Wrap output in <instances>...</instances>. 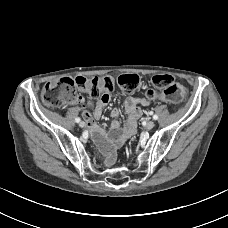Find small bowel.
Here are the masks:
<instances>
[{"label": "small bowel", "instance_id": "small-bowel-1", "mask_svg": "<svg viewBox=\"0 0 228 228\" xmlns=\"http://www.w3.org/2000/svg\"><path fill=\"white\" fill-rule=\"evenodd\" d=\"M109 101V93L103 94L95 101H89L87 104L89 110L83 112V117L94 140L106 154L108 162L111 163L114 160L115 150L136 130V122L142 115L139 105L149 106L152 103V99L134 96L126 98L124 102L127 116L125 124L120 126V123L117 120H114L109 129L104 130L96 124L95 120L101 117L102 111ZM111 116L117 118L119 116V110L117 108L112 109Z\"/></svg>", "mask_w": 228, "mask_h": 228}]
</instances>
